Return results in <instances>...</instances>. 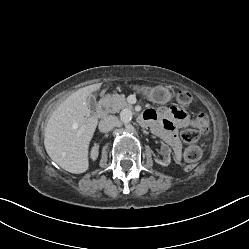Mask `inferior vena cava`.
I'll return each mask as SVG.
<instances>
[{"instance_id": "602c4592", "label": "inferior vena cava", "mask_w": 249, "mask_h": 249, "mask_svg": "<svg viewBox=\"0 0 249 249\" xmlns=\"http://www.w3.org/2000/svg\"><path fill=\"white\" fill-rule=\"evenodd\" d=\"M120 125V121L116 116H106L99 123V131L102 133H107L113 128Z\"/></svg>"}]
</instances>
